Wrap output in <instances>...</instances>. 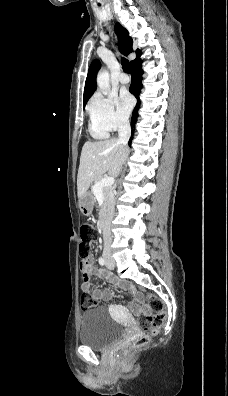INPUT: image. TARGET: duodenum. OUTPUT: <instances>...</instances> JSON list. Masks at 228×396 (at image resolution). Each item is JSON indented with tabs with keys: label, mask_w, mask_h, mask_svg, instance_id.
<instances>
[{
	"label": "duodenum",
	"mask_w": 228,
	"mask_h": 396,
	"mask_svg": "<svg viewBox=\"0 0 228 396\" xmlns=\"http://www.w3.org/2000/svg\"><path fill=\"white\" fill-rule=\"evenodd\" d=\"M98 225H99V229L102 231V233L104 235H106L107 234V226H106V222H105V217L104 216H101V218L99 219Z\"/></svg>",
	"instance_id": "duodenum-1"
}]
</instances>
